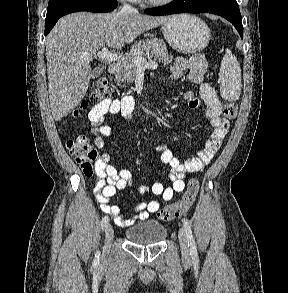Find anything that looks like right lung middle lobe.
Wrapping results in <instances>:
<instances>
[{
    "instance_id": "1",
    "label": "right lung middle lobe",
    "mask_w": 288,
    "mask_h": 293,
    "mask_svg": "<svg viewBox=\"0 0 288 293\" xmlns=\"http://www.w3.org/2000/svg\"><path fill=\"white\" fill-rule=\"evenodd\" d=\"M76 0H49L47 11H50L60 5H63L68 2H72ZM101 3H109V2H116L117 0H94Z\"/></svg>"
}]
</instances>
